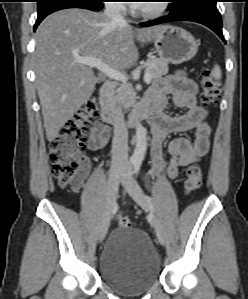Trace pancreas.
<instances>
[{
	"mask_svg": "<svg viewBox=\"0 0 248 299\" xmlns=\"http://www.w3.org/2000/svg\"><path fill=\"white\" fill-rule=\"evenodd\" d=\"M145 73L151 75V79L160 78L168 73V64L161 59L150 57L145 62ZM111 103H120L125 108L131 107L135 103V93L130 84L123 83L111 93Z\"/></svg>",
	"mask_w": 248,
	"mask_h": 299,
	"instance_id": "1",
	"label": "pancreas"
}]
</instances>
